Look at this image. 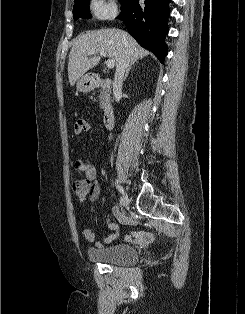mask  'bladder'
I'll use <instances>...</instances> for the list:
<instances>
[{"instance_id": "1", "label": "bladder", "mask_w": 245, "mask_h": 314, "mask_svg": "<svg viewBox=\"0 0 245 314\" xmlns=\"http://www.w3.org/2000/svg\"><path fill=\"white\" fill-rule=\"evenodd\" d=\"M87 257L93 262L126 265L134 264L138 259V253L127 245L114 244L104 248H90Z\"/></svg>"}]
</instances>
